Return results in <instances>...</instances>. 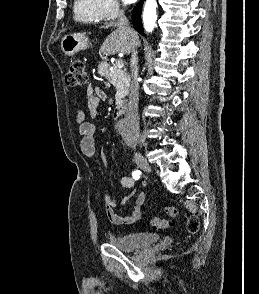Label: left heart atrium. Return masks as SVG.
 I'll list each match as a JSON object with an SVG mask.
<instances>
[{"instance_id":"39dd6f15","label":"left heart atrium","mask_w":259,"mask_h":294,"mask_svg":"<svg viewBox=\"0 0 259 294\" xmlns=\"http://www.w3.org/2000/svg\"><path fill=\"white\" fill-rule=\"evenodd\" d=\"M125 3H127V4H130V3H133V2H135V1H137V0H123Z\"/></svg>"}]
</instances>
